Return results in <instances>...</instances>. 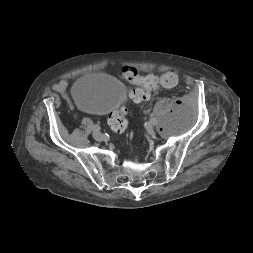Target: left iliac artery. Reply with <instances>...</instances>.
I'll use <instances>...</instances> for the list:
<instances>
[{"mask_svg": "<svg viewBox=\"0 0 253 253\" xmlns=\"http://www.w3.org/2000/svg\"><path fill=\"white\" fill-rule=\"evenodd\" d=\"M149 124L156 125V124H157V122H156V120H155V119H151V121H150V123H149ZM149 124H147V125H149Z\"/></svg>", "mask_w": 253, "mask_h": 253, "instance_id": "obj_1", "label": "left iliac artery"}]
</instances>
